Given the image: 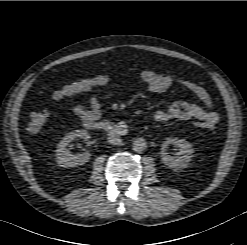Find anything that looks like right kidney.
<instances>
[{"label":"right kidney","mask_w":247,"mask_h":245,"mask_svg":"<svg viewBox=\"0 0 247 245\" xmlns=\"http://www.w3.org/2000/svg\"><path fill=\"white\" fill-rule=\"evenodd\" d=\"M76 138L88 140L90 138L89 133L86 130H75L63 137L56 149L57 163L61 167H75L82 165L90 159V153L85 152L83 154H71L67 146Z\"/></svg>","instance_id":"right-kidney-1"}]
</instances>
